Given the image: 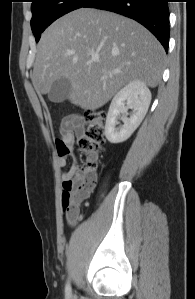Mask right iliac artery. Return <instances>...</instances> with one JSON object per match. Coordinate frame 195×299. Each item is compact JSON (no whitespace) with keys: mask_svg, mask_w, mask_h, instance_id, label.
I'll list each match as a JSON object with an SVG mask.
<instances>
[{"mask_svg":"<svg viewBox=\"0 0 195 299\" xmlns=\"http://www.w3.org/2000/svg\"><path fill=\"white\" fill-rule=\"evenodd\" d=\"M65 295H66V299H71L72 292H71V286L69 282H67L65 286Z\"/></svg>","mask_w":195,"mask_h":299,"instance_id":"obj_1","label":"right iliac artery"}]
</instances>
